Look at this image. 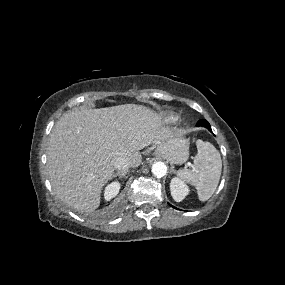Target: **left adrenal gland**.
I'll list each match as a JSON object with an SVG mask.
<instances>
[{
	"label": "left adrenal gland",
	"mask_w": 285,
	"mask_h": 285,
	"mask_svg": "<svg viewBox=\"0 0 285 285\" xmlns=\"http://www.w3.org/2000/svg\"><path fill=\"white\" fill-rule=\"evenodd\" d=\"M171 172H175L174 166L171 167Z\"/></svg>",
	"instance_id": "a2214340"
}]
</instances>
